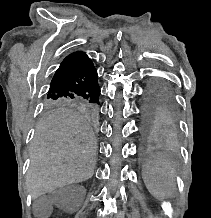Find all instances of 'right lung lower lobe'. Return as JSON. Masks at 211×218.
Masks as SVG:
<instances>
[{
  "instance_id": "98d812e1",
  "label": "right lung lower lobe",
  "mask_w": 211,
  "mask_h": 218,
  "mask_svg": "<svg viewBox=\"0 0 211 218\" xmlns=\"http://www.w3.org/2000/svg\"><path fill=\"white\" fill-rule=\"evenodd\" d=\"M97 71L83 52L68 55L52 78L46 97H79L99 103Z\"/></svg>"
}]
</instances>
